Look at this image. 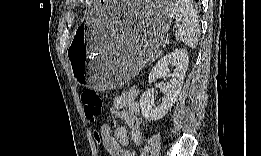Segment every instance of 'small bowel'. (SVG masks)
<instances>
[{
  "mask_svg": "<svg viewBox=\"0 0 261 156\" xmlns=\"http://www.w3.org/2000/svg\"><path fill=\"white\" fill-rule=\"evenodd\" d=\"M137 95L138 90L133 87L117 96L110 105L111 113L122 119L126 127L116 128L114 135L111 133L112 127L109 123H104L100 127L101 144L110 156H135L136 151L128 147L130 144L139 146L142 143Z\"/></svg>",
  "mask_w": 261,
  "mask_h": 156,
  "instance_id": "small-bowel-1",
  "label": "small bowel"
}]
</instances>
